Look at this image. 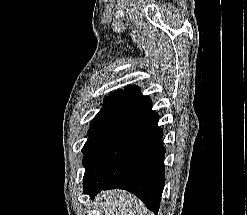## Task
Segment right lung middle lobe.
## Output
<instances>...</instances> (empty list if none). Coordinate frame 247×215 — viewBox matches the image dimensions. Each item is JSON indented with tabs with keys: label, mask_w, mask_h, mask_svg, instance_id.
I'll list each match as a JSON object with an SVG mask.
<instances>
[{
	"label": "right lung middle lobe",
	"mask_w": 247,
	"mask_h": 215,
	"mask_svg": "<svg viewBox=\"0 0 247 215\" xmlns=\"http://www.w3.org/2000/svg\"><path fill=\"white\" fill-rule=\"evenodd\" d=\"M123 93H124L123 91H117L104 99L103 102L104 107L100 110V112L95 116V118L91 122V127L88 131V134L92 132V130L96 127V125L100 122V120L110 110V108L121 98Z\"/></svg>",
	"instance_id": "1"
}]
</instances>
